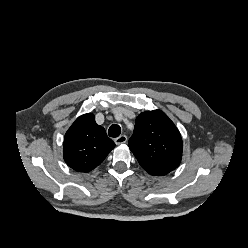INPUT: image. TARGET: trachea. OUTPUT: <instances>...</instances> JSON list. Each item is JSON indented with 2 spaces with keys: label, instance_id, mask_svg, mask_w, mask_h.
I'll use <instances>...</instances> for the list:
<instances>
[{
  "label": "trachea",
  "instance_id": "3493384b",
  "mask_svg": "<svg viewBox=\"0 0 248 248\" xmlns=\"http://www.w3.org/2000/svg\"><path fill=\"white\" fill-rule=\"evenodd\" d=\"M121 133V128L119 125H111L109 130H108V134L110 137H118Z\"/></svg>",
  "mask_w": 248,
  "mask_h": 248
}]
</instances>
